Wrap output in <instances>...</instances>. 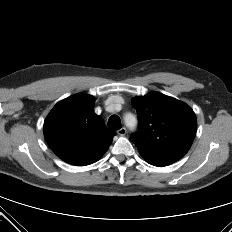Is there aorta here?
Listing matches in <instances>:
<instances>
[{
    "label": "aorta",
    "mask_w": 232,
    "mask_h": 232,
    "mask_svg": "<svg viewBox=\"0 0 232 232\" xmlns=\"http://www.w3.org/2000/svg\"><path fill=\"white\" fill-rule=\"evenodd\" d=\"M125 123L129 128H133L136 124V118L132 114H128L125 116Z\"/></svg>",
    "instance_id": "obj_1"
}]
</instances>
